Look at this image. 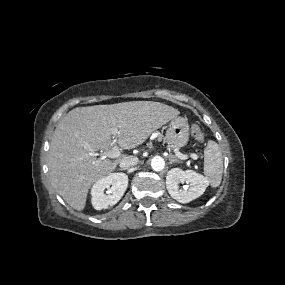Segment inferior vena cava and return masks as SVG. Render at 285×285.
<instances>
[{
    "label": "inferior vena cava",
    "mask_w": 285,
    "mask_h": 285,
    "mask_svg": "<svg viewBox=\"0 0 285 285\" xmlns=\"http://www.w3.org/2000/svg\"><path fill=\"white\" fill-rule=\"evenodd\" d=\"M139 162V159L137 157H134V156H128L126 158H124L123 160L120 161V168L122 170H126V169H129L130 167L132 166H135L137 165Z\"/></svg>",
    "instance_id": "602c4592"
}]
</instances>
